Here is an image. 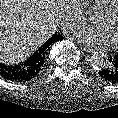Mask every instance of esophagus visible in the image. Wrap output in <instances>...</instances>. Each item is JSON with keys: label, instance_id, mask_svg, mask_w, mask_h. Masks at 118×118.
<instances>
[{"label": "esophagus", "instance_id": "34e87169", "mask_svg": "<svg viewBox=\"0 0 118 118\" xmlns=\"http://www.w3.org/2000/svg\"><path fill=\"white\" fill-rule=\"evenodd\" d=\"M82 48L84 51L88 52V53H93L94 49L87 47L86 45H82Z\"/></svg>", "mask_w": 118, "mask_h": 118}]
</instances>
